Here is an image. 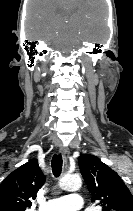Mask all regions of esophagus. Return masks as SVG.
Segmentation results:
<instances>
[{
  "label": "esophagus",
  "instance_id": "esophagus-1",
  "mask_svg": "<svg viewBox=\"0 0 133 211\" xmlns=\"http://www.w3.org/2000/svg\"><path fill=\"white\" fill-rule=\"evenodd\" d=\"M59 152L62 154L63 160L66 162L69 157V149L66 146H61Z\"/></svg>",
  "mask_w": 133,
  "mask_h": 211
}]
</instances>
